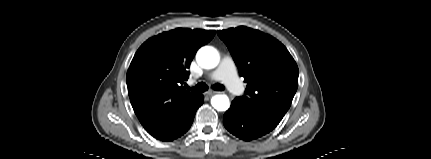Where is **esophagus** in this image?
<instances>
[{"label":"esophagus","mask_w":431,"mask_h":159,"mask_svg":"<svg viewBox=\"0 0 431 159\" xmlns=\"http://www.w3.org/2000/svg\"><path fill=\"white\" fill-rule=\"evenodd\" d=\"M216 93H218V92L210 90V91L206 92V95L207 96H212V95H214Z\"/></svg>","instance_id":"obj_1"}]
</instances>
